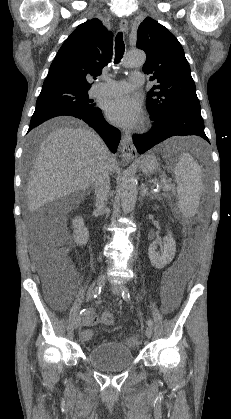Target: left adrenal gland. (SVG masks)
Listing matches in <instances>:
<instances>
[{
	"mask_svg": "<svg viewBox=\"0 0 231 419\" xmlns=\"http://www.w3.org/2000/svg\"><path fill=\"white\" fill-rule=\"evenodd\" d=\"M140 195H141V197L148 196L149 198L154 199V196L151 195L150 192L148 191V188H147L146 184H142Z\"/></svg>",
	"mask_w": 231,
	"mask_h": 419,
	"instance_id": "1",
	"label": "left adrenal gland"
}]
</instances>
